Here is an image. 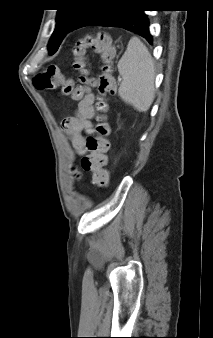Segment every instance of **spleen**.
Masks as SVG:
<instances>
[{"label": "spleen", "instance_id": "spleen-1", "mask_svg": "<svg viewBox=\"0 0 213 338\" xmlns=\"http://www.w3.org/2000/svg\"><path fill=\"white\" fill-rule=\"evenodd\" d=\"M123 80L118 89L121 99L136 110L145 112L155 98V67L148 48L138 37H132L118 62Z\"/></svg>", "mask_w": 213, "mask_h": 338}]
</instances>
